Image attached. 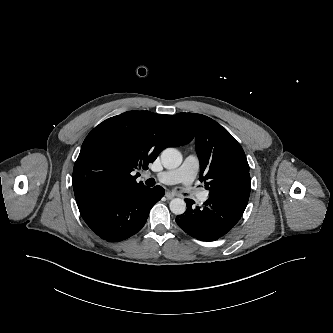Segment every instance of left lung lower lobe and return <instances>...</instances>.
Returning <instances> with one entry per match:
<instances>
[{"mask_svg":"<svg viewBox=\"0 0 333 333\" xmlns=\"http://www.w3.org/2000/svg\"><path fill=\"white\" fill-rule=\"evenodd\" d=\"M250 189L249 174L228 178L210 190L204 208H193L194 201L185 199L187 210L177 216L176 222L198 240L215 241L239 221L247 206Z\"/></svg>","mask_w":333,"mask_h":333,"instance_id":"0a47b994","label":"left lung lower lobe"}]
</instances>
